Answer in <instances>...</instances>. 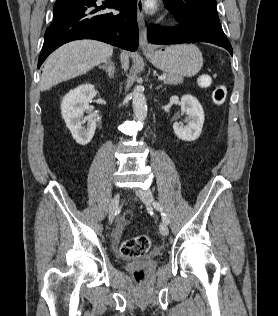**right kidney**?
<instances>
[{
	"label": "right kidney",
	"instance_id": "obj_1",
	"mask_svg": "<svg viewBox=\"0 0 278 316\" xmlns=\"http://www.w3.org/2000/svg\"><path fill=\"white\" fill-rule=\"evenodd\" d=\"M95 86L80 85L66 94L61 103V114L74 140L80 145H87L93 138L96 129V120L89 114V102L96 96ZM88 121L85 128L83 124Z\"/></svg>",
	"mask_w": 278,
	"mask_h": 316
}]
</instances>
